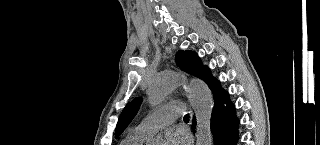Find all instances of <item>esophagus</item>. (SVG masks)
Returning a JSON list of instances; mask_svg holds the SVG:
<instances>
[{
  "instance_id": "obj_1",
  "label": "esophagus",
  "mask_w": 320,
  "mask_h": 145,
  "mask_svg": "<svg viewBox=\"0 0 320 145\" xmlns=\"http://www.w3.org/2000/svg\"><path fill=\"white\" fill-rule=\"evenodd\" d=\"M182 91L185 92V93H187L188 87H187L186 84H184V85L182 86Z\"/></svg>"
}]
</instances>
